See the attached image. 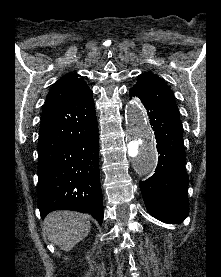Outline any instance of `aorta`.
Returning a JSON list of instances; mask_svg holds the SVG:
<instances>
[{
    "instance_id": "aorta-1",
    "label": "aorta",
    "mask_w": 221,
    "mask_h": 277,
    "mask_svg": "<svg viewBox=\"0 0 221 277\" xmlns=\"http://www.w3.org/2000/svg\"><path fill=\"white\" fill-rule=\"evenodd\" d=\"M125 139L135 170L141 175L153 172L157 164L156 145L144 108L138 101H131L126 107Z\"/></svg>"
}]
</instances>
